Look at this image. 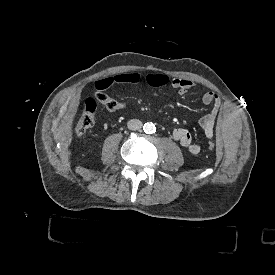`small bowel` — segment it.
I'll list each match as a JSON object with an SVG mask.
<instances>
[{"label": "small bowel", "mask_w": 275, "mask_h": 275, "mask_svg": "<svg viewBox=\"0 0 275 275\" xmlns=\"http://www.w3.org/2000/svg\"><path fill=\"white\" fill-rule=\"evenodd\" d=\"M125 84H146L152 88L171 85L172 87L178 89L180 95L186 94L195 86V83L191 80L177 77L171 78L167 74L161 72H153L146 75L145 77L136 72H125L103 80L99 83V89L103 90L114 85ZM201 100L204 105L212 106L211 110L199 121V125L205 136L211 139L214 136L215 122L221 108V101L219 96L212 91L205 92L202 95ZM172 137L191 154L198 155L200 153V146L193 141L192 135L188 130L184 128H176L172 133Z\"/></svg>", "instance_id": "obj_1"}]
</instances>
